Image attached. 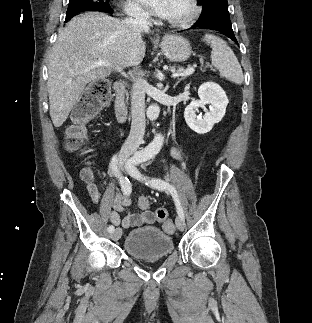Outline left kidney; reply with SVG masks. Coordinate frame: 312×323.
Listing matches in <instances>:
<instances>
[{
  "label": "left kidney",
  "instance_id": "obj_1",
  "mask_svg": "<svg viewBox=\"0 0 312 323\" xmlns=\"http://www.w3.org/2000/svg\"><path fill=\"white\" fill-rule=\"evenodd\" d=\"M200 100H193L189 106H186L184 118L189 128L196 134H207L212 130L214 124L221 122L225 116L226 106L229 102L224 90L215 82H205L198 90ZM210 104L209 112L206 110L203 120L201 116H196L200 106Z\"/></svg>",
  "mask_w": 312,
  "mask_h": 323
}]
</instances>
